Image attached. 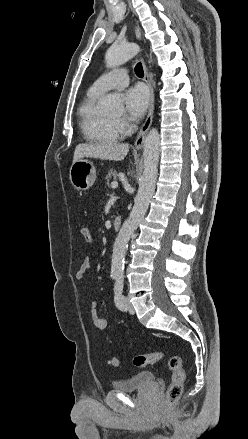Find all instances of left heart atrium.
I'll return each mask as SVG.
<instances>
[{
  "instance_id": "1",
  "label": "left heart atrium",
  "mask_w": 248,
  "mask_h": 439,
  "mask_svg": "<svg viewBox=\"0 0 248 439\" xmlns=\"http://www.w3.org/2000/svg\"><path fill=\"white\" fill-rule=\"evenodd\" d=\"M148 103V92L141 85L131 87L124 93L126 115L130 119L136 120L141 118L148 107Z\"/></svg>"
}]
</instances>
